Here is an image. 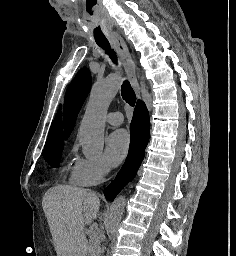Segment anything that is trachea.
Instances as JSON below:
<instances>
[{
	"mask_svg": "<svg viewBox=\"0 0 236 256\" xmlns=\"http://www.w3.org/2000/svg\"><path fill=\"white\" fill-rule=\"evenodd\" d=\"M96 43L100 47H103V49H107L106 53L110 56L111 60L114 63L117 62L116 53L114 52V50L110 49L109 42L106 38L96 39ZM121 96L123 100H125L130 106L135 105L136 95L128 81H124V83L121 86Z\"/></svg>",
	"mask_w": 236,
	"mask_h": 256,
	"instance_id": "1",
	"label": "trachea"
}]
</instances>
